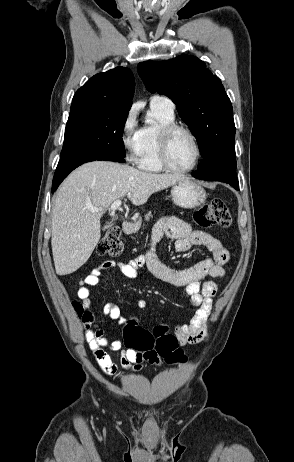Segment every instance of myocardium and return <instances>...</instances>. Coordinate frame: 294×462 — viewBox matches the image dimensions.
Listing matches in <instances>:
<instances>
[{"instance_id":"1","label":"myocardium","mask_w":294,"mask_h":462,"mask_svg":"<svg viewBox=\"0 0 294 462\" xmlns=\"http://www.w3.org/2000/svg\"><path fill=\"white\" fill-rule=\"evenodd\" d=\"M179 131L186 133L192 139L194 146H195V151H196L195 158L192 164L186 168L174 167L171 164L170 159H169V146H170L171 139L174 136V134H176ZM158 152H159V161H160L161 166L166 171L172 172V173H188L194 170L199 164L201 156H202L201 144L199 142V139L195 135V133L188 127L177 124V123H171V124L165 125L160 129L159 137H158Z\"/></svg>"}]
</instances>
